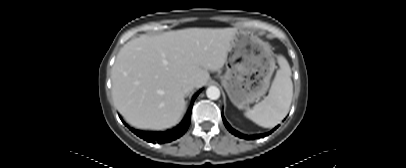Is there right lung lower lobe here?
<instances>
[{
  "label": "right lung lower lobe",
  "instance_id": "obj_1",
  "mask_svg": "<svg viewBox=\"0 0 406 168\" xmlns=\"http://www.w3.org/2000/svg\"><path fill=\"white\" fill-rule=\"evenodd\" d=\"M199 93H200V91H198L194 95L192 104L190 106V109H189L185 119L178 126L172 128V129H169L167 131H163V132L141 131V130H136L133 128H130V130L133 133H135L137 136H139L140 138L146 140L147 142L168 143L173 140H176L177 138L181 137L189 127L193 103ZM122 122L126 126H128L123 120H122Z\"/></svg>",
  "mask_w": 406,
  "mask_h": 168
}]
</instances>
